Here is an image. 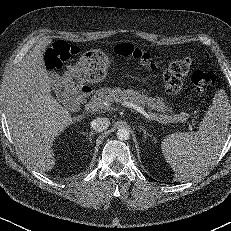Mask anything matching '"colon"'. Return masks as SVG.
Listing matches in <instances>:
<instances>
[{"instance_id": "1", "label": "colon", "mask_w": 231, "mask_h": 231, "mask_svg": "<svg viewBox=\"0 0 231 231\" xmlns=\"http://www.w3.org/2000/svg\"><path fill=\"white\" fill-rule=\"evenodd\" d=\"M79 49L64 40L53 42L45 52V63L51 70L60 69ZM114 53L120 57L130 58L148 71H154L155 65L149 54L141 51L132 44L121 43L115 46ZM191 68V59L183 57L173 61L163 74L165 88L169 93H177L183 85V80ZM196 92L207 94L215 83V75L211 72L198 70L191 77Z\"/></svg>"}]
</instances>
